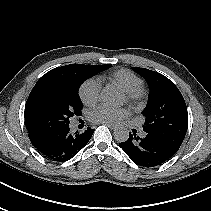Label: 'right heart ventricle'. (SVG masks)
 I'll return each instance as SVG.
<instances>
[{
    "label": "right heart ventricle",
    "instance_id": "obj_1",
    "mask_svg": "<svg viewBox=\"0 0 211 211\" xmlns=\"http://www.w3.org/2000/svg\"><path fill=\"white\" fill-rule=\"evenodd\" d=\"M107 79L117 84L123 91H129L136 88H141L143 85L142 80L133 72L127 69L116 70L111 74H109Z\"/></svg>",
    "mask_w": 211,
    "mask_h": 211
}]
</instances>
